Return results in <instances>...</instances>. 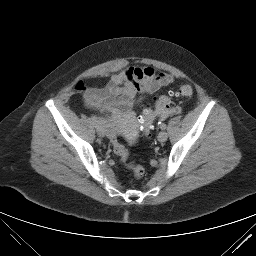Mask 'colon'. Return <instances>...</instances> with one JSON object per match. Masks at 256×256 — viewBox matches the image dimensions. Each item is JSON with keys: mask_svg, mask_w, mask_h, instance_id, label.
Here are the masks:
<instances>
[{"mask_svg": "<svg viewBox=\"0 0 256 256\" xmlns=\"http://www.w3.org/2000/svg\"><path fill=\"white\" fill-rule=\"evenodd\" d=\"M193 94L192 86L188 84L181 85L176 91L170 92L168 95L158 97L153 106L144 109L143 114L139 118L142 133L147 136L150 133L152 120L159 110L170 109L174 107V98L190 97ZM113 150L117 155L120 163L130 169L137 179L144 175V169L141 165L128 161L127 149L118 141L113 140Z\"/></svg>", "mask_w": 256, "mask_h": 256, "instance_id": "5ec220e1", "label": "colon"}]
</instances>
